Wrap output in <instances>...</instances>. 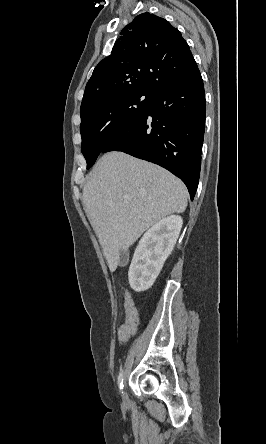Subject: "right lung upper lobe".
<instances>
[{
	"instance_id": "obj_1",
	"label": "right lung upper lobe",
	"mask_w": 266,
	"mask_h": 444,
	"mask_svg": "<svg viewBox=\"0 0 266 444\" xmlns=\"http://www.w3.org/2000/svg\"><path fill=\"white\" fill-rule=\"evenodd\" d=\"M197 69L178 29L154 14H140L123 28L111 55L95 67L85 88L81 110L120 91L156 93L187 79Z\"/></svg>"
}]
</instances>
